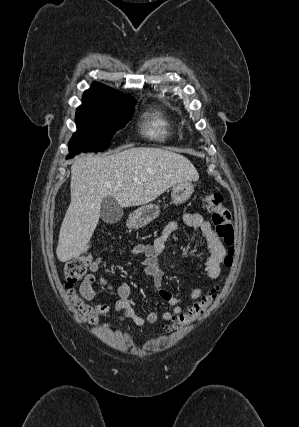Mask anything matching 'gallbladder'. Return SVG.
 <instances>
[{
  "mask_svg": "<svg viewBox=\"0 0 299 427\" xmlns=\"http://www.w3.org/2000/svg\"><path fill=\"white\" fill-rule=\"evenodd\" d=\"M123 214V209L113 197L108 196L102 201L100 217L105 223L115 224L121 220Z\"/></svg>",
  "mask_w": 299,
  "mask_h": 427,
  "instance_id": "gallbladder-1",
  "label": "gallbladder"
}]
</instances>
